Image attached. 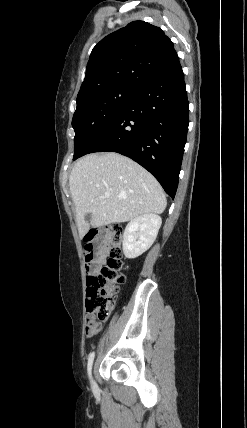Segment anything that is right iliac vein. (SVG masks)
Instances as JSON below:
<instances>
[{"label":"right iliac vein","mask_w":247,"mask_h":428,"mask_svg":"<svg viewBox=\"0 0 247 428\" xmlns=\"http://www.w3.org/2000/svg\"><path fill=\"white\" fill-rule=\"evenodd\" d=\"M92 387L95 389V387H96V385H95V382H94V380L92 379Z\"/></svg>","instance_id":"obj_1"}]
</instances>
